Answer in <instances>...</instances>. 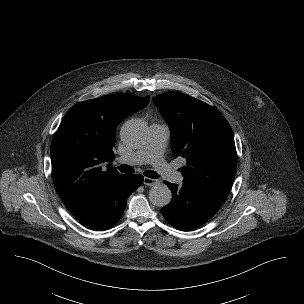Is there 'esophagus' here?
Segmentation results:
<instances>
[{
	"mask_svg": "<svg viewBox=\"0 0 304 304\" xmlns=\"http://www.w3.org/2000/svg\"><path fill=\"white\" fill-rule=\"evenodd\" d=\"M144 184L147 185V186H154L156 184L159 183V180L157 179H152V178H148V177H144V180H143Z\"/></svg>",
	"mask_w": 304,
	"mask_h": 304,
	"instance_id": "1",
	"label": "esophagus"
}]
</instances>
